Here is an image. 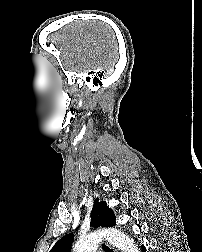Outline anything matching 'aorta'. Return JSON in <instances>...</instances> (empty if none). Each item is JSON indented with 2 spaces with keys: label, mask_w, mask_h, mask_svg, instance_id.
<instances>
[{
  "label": "aorta",
  "mask_w": 202,
  "mask_h": 252,
  "mask_svg": "<svg viewBox=\"0 0 202 252\" xmlns=\"http://www.w3.org/2000/svg\"><path fill=\"white\" fill-rule=\"evenodd\" d=\"M102 236L123 252H139L137 245L130 237L114 228L104 232L92 233L88 237L79 240L73 247V252H96Z\"/></svg>",
  "instance_id": "1"
}]
</instances>
